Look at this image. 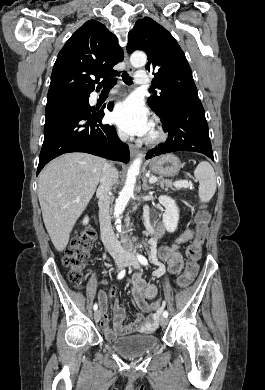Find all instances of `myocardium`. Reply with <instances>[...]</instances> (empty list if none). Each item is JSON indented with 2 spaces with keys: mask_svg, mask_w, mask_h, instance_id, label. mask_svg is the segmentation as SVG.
Returning <instances> with one entry per match:
<instances>
[{
  "mask_svg": "<svg viewBox=\"0 0 265 390\" xmlns=\"http://www.w3.org/2000/svg\"><path fill=\"white\" fill-rule=\"evenodd\" d=\"M164 139V131L160 127L155 126L147 138V143L150 145H156L161 143Z\"/></svg>",
  "mask_w": 265,
  "mask_h": 390,
  "instance_id": "obj_1",
  "label": "myocardium"
}]
</instances>
